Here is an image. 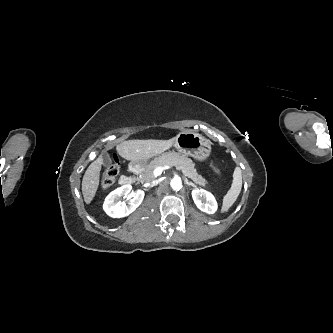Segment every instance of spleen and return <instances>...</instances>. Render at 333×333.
I'll return each mask as SVG.
<instances>
[{
  "label": "spleen",
  "instance_id": "1",
  "mask_svg": "<svg viewBox=\"0 0 333 333\" xmlns=\"http://www.w3.org/2000/svg\"><path fill=\"white\" fill-rule=\"evenodd\" d=\"M242 188V173L239 167H236L233 173L231 188L223 197L222 212H226L236 202Z\"/></svg>",
  "mask_w": 333,
  "mask_h": 333
}]
</instances>
